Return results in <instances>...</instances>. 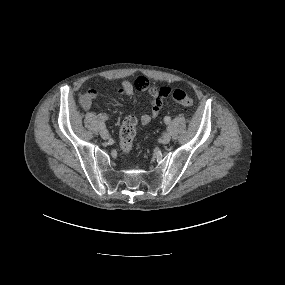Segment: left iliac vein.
Listing matches in <instances>:
<instances>
[{"label":"left iliac vein","mask_w":285,"mask_h":285,"mask_svg":"<svg viewBox=\"0 0 285 285\" xmlns=\"http://www.w3.org/2000/svg\"><path fill=\"white\" fill-rule=\"evenodd\" d=\"M170 140H171V136H170L169 134L165 133V134L162 136L161 142H162L163 144H167V143L170 142Z\"/></svg>","instance_id":"left-iliac-vein-1"}]
</instances>
